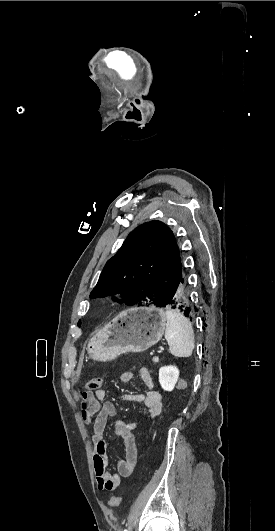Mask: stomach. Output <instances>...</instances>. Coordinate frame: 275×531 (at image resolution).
Masks as SVG:
<instances>
[{
  "instance_id": "obj_1",
  "label": "stomach",
  "mask_w": 275,
  "mask_h": 531,
  "mask_svg": "<svg viewBox=\"0 0 275 531\" xmlns=\"http://www.w3.org/2000/svg\"><path fill=\"white\" fill-rule=\"evenodd\" d=\"M166 315L157 307L126 309L90 339V359L107 363L122 353H142L156 345L164 335Z\"/></svg>"
}]
</instances>
